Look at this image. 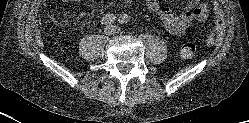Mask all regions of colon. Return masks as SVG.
<instances>
[{
  "mask_svg": "<svg viewBox=\"0 0 249 123\" xmlns=\"http://www.w3.org/2000/svg\"><path fill=\"white\" fill-rule=\"evenodd\" d=\"M196 49L197 46L195 41L192 38L187 37L181 45L180 54L183 58H192L196 53Z\"/></svg>",
  "mask_w": 249,
  "mask_h": 123,
  "instance_id": "obj_1",
  "label": "colon"
}]
</instances>
